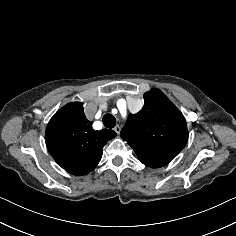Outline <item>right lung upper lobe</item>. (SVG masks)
Returning a JSON list of instances; mask_svg holds the SVG:
<instances>
[{"instance_id":"1","label":"right lung upper lobe","mask_w":236,"mask_h":236,"mask_svg":"<svg viewBox=\"0 0 236 236\" xmlns=\"http://www.w3.org/2000/svg\"><path fill=\"white\" fill-rule=\"evenodd\" d=\"M116 136L113 130L95 131L84 115L81 102L67 104L49 121L46 145L55 161L67 172L88 174L99 163L103 146Z\"/></svg>"}]
</instances>
